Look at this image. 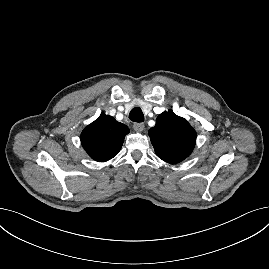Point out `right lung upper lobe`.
I'll return each instance as SVG.
<instances>
[{"mask_svg":"<svg viewBox=\"0 0 269 269\" xmlns=\"http://www.w3.org/2000/svg\"><path fill=\"white\" fill-rule=\"evenodd\" d=\"M129 128L115 118L102 114L81 133V143L88 155L98 162L108 161L121 149Z\"/></svg>","mask_w":269,"mask_h":269,"instance_id":"right-lung-upper-lobe-1","label":"right lung upper lobe"}]
</instances>
